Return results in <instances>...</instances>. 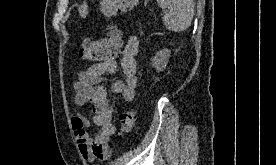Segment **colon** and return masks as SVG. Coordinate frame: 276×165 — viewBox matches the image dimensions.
<instances>
[{"label": "colon", "mask_w": 276, "mask_h": 165, "mask_svg": "<svg viewBox=\"0 0 276 165\" xmlns=\"http://www.w3.org/2000/svg\"><path fill=\"white\" fill-rule=\"evenodd\" d=\"M138 0H102L99 5L100 13L111 19L119 14L132 10ZM122 47V33L114 24L106 26V36L100 40L84 39L79 54L83 59L96 62L114 60ZM119 124L122 133H129L135 124V113L127 110L119 115Z\"/></svg>", "instance_id": "1"}]
</instances>
